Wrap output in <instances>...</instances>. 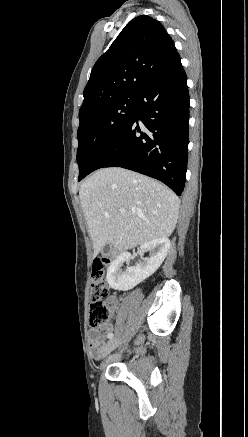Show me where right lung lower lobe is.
Listing matches in <instances>:
<instances>
[{
    "instance_id": "98d812e1",
    "label": "right lung lower lobe",
    "mask_w": 248,
    "mask_h": 437,
    "mask_svg": "<svg viewBox=\"0 0 248 437\" xmlns=\"http://www.w3.org/2000/svg\"><path fill=\"white\" fill-rule=\"evenodd\" d=\"M189 106L178 54L136 95L131 119L95 158L89 173L126 168L162 181L180 196L187 170Z\"/></svg>"
}]
</instances>
